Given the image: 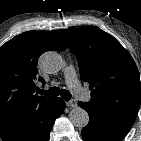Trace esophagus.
Instances as JSON below:
<instances>
[{"label":"esophagus","instance_id":"1","mask_svg":"<svg viewBox=\"0 0 141 141\" xmlns=\"http://www.w3.org/2000/svg\"><path fill=\"white\" fill-rule=\"evenodd\" d=\"M66 105H67L68 107L74 108V107L77 106V101H76L75 99H72V100L66 102Z\"/></svg>","mask_w":141,"mask_h":141}]
</instances>
